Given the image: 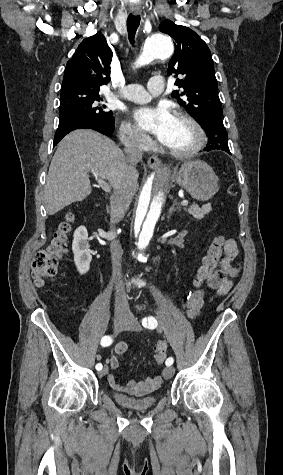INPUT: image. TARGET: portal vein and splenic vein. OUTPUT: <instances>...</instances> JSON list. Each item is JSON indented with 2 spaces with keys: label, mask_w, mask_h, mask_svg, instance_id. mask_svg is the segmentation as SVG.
<instances>
[{
  "label": "portal vein and splenic vein",
  "mask_w": 283,
  "mask_h": 475,
  "mask_svg": "<svg viewBox=\"0 0 283 475\" xmlns=\"http://www.w3.org/2000/svg\"><path fill=\"white\" fill-rule=\"evenodd\" d=\"M95 178H97V176H95ZM98 182L104 192H110V186H108L106 182H103V180H98ZM181 206H188V200H183V202H181Z\"/></svg>",
  "instance_id": "obj_1"
}]
</instances>
